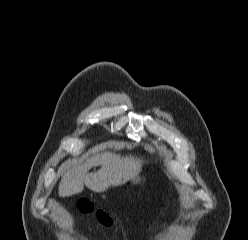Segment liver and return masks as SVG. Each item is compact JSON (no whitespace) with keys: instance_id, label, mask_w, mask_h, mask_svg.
I'll use <instances>...</instances> for the list:
<instances>
[{"instance_id":"liver-1","label":"liver","mask_w":248,"mask_h":240,"mask_svg":"<svg viewBox=\"0 0 248 240\" xmlns=\"http://www.w3.org/2000/svg\"><path fill=\"white\" fill-rule=\"evenodd\" d=\"M143 160L132 155L121 156L105 152L98 154L79 166H71L70 162L62 165L67 169L59 183V196L69 197L81 193L84 185L91 191L100 193L109 187H117L137 176ZM100 165L97 172L88 173L93 166Z\"/></svg>"}]
</instances>
